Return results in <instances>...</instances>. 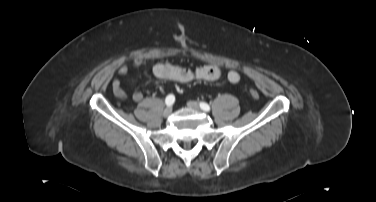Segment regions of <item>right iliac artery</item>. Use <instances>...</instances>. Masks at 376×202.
Segmentation results:
<instances>
[{
	"label": "right iliac artery",
	"mask_w": 376,
	"mask_h": 202,
	"mask_svg": "<svg viewBox=\"0 0 376 202\" xmlns=\"http://www.w3.org/2000/svg\"><path fill=\"white\" fill-rule=\"evenodd\" d=\"M174 102H175V96L173 94H169L165 99V103L167 106L173 105Z\"/></svg>",
	"instance_id": "obj_1"
}]
</instances>
